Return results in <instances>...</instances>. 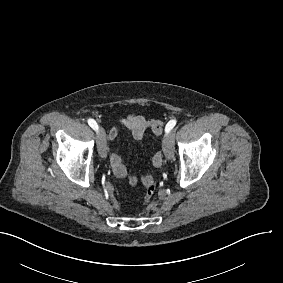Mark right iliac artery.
I'll return each instance as SVG.
<instances>
[{
	"instance_id": "obj_1",
	"label": "right iliac artery",
	"mask_w": 283,
	"mask_h": 283,
	"mask_svg": "<svg viewBox=\"0 0 283 283\" xmlns=\"http://www.w3.org/2000/svg\"><path fill=\"white\" fill-rule=\"evenodd\" d=\"M88 124L90 125V127H92L94 130H98V125L96 123V121L94 119H89L88 120Z\"/></svg>"
}]
</instances>
